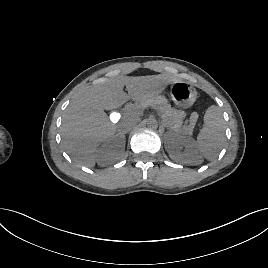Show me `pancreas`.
Returning a JSON list of instances; mask_svg holds the SVG:
<instances>
[{
	"label": "pancreas",
	"instance_id": "obj_1",
	"mask_svg": "<svg viewBox=\"0 0 268 268\" xmlns=\"http://www.w3.org/2000/svg\"><path fill=\"white\" fill-rule=\"evenodd\" d=\"M150 106L156 109L162 116V121L166 127L171 128L175 132L184 135H191L195 125V121H191L190 124H183L185 114L180 110H176L171 107L166 98L162 96H153L142 102H138L132 107V110L136 111L143 107Z\"/></svg>",
	"mask_w": 268,
	"mask_h": 268
}]
</instances>
